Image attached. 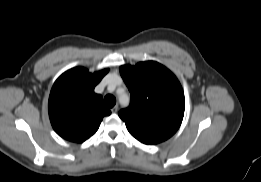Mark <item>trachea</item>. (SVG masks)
Segmentation results:
<instances>
[{"mask_svg":"<svg viewBox=\"0 0 261 182\" xmlns=\"http://www.w3.org/2000/svg\"><path fill=\"white\" fill-rule=\"evenodd\" d=\"M104 103L107 107L112 108L116 104V98L113 95H106Z\"/></svg>","mask_w":261,"mask_h":182,"instance_id":"1","label":"trachea"}]
</instances>
